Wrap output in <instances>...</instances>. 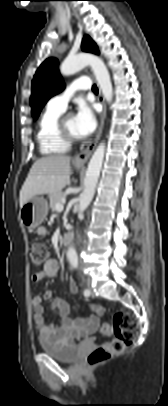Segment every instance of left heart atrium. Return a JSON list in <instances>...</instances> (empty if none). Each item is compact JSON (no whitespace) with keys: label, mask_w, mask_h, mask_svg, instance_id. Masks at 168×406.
Masks as SVG:
<instances>
[{"label":"left heart atrium","mask_w":168,"mask_h":406,"mask_svg":"<svg viewBox=\"0 0 168 406\" xmlns=\"http://www.w3.org/2000/svg\"><path fill=\"white\" fill-rule=\"evenodd\" d=\"M76 131L79 137L91 135L97 126L96 117L92 109L86 104H80L74 116Z\"/></svg>","instance_id":"1"}]
</instances>
